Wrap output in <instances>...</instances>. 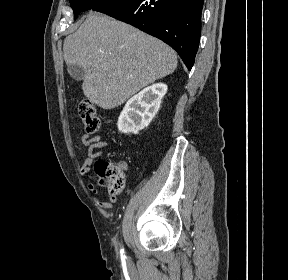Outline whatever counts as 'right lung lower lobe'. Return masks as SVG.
I'll list each match as a JSON object with an SVG mask.
<instances>
[{
    "mask_svg": "<svg viewBox=\"0 0 288 280\" xmlns=\"http://www.w3.org/2000/svg\"><path fill=\"white\" fill-rule=\"evenodd\" d=\"M204 0H111L96 8L170 45L190 70L198 50Z\"/></svg>",
    "mask_w": 288,
    "mask_h": 280,
    "instance_id": "right-lung-lower-lobe-1",
    "label": "right lung lower lobe"
}]
</instances>
